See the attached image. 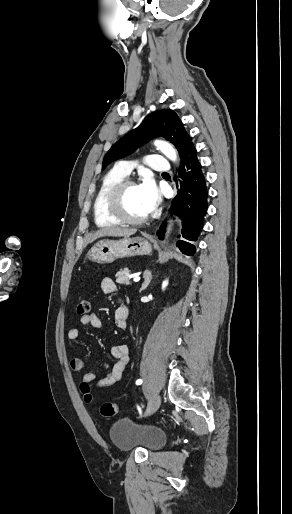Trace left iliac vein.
<instances>
[{"label": "left iliac vein", "instance_id": "obj_1", "mask_svg": "<svg viewBox=\"0 0 292 514\" xmlns=\"http://www.w3.org/2000/svg\"><path fill=\"white\" fill-rule=\"evenodd\" d=\"M161 404V397L160 395H155L151 401L149 402L146 410V416H150L154 414L157 409L160 407Z\"/></svg>", "mask_w": 292, "mask_h": 514}]
</instances>
